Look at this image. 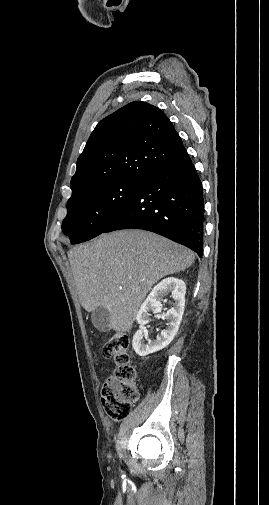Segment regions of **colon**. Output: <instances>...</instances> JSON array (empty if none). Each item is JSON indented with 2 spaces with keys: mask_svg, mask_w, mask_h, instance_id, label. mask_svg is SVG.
Returning <instances> with one entry per match:
<instances>
[{
  "mask_svg": "<svg viewBox=\"0 0 269 505\" xmlns=\"http://www.w3.org/2000/svg\"><path fill=\"white\" fill-rule=\"evenodd\" d=\"M129 345V335L117 332L103 347L104 356L116 365L113 376L105 380L101 389L102 405L114 421L128 416L139 398L135 385L136 372L129 362Z\"/></svg>",
  "mask_w": 269,
  "mask_h": 505,
  "instance_id": "1",
  "label": "colon"
}]
</instances>
